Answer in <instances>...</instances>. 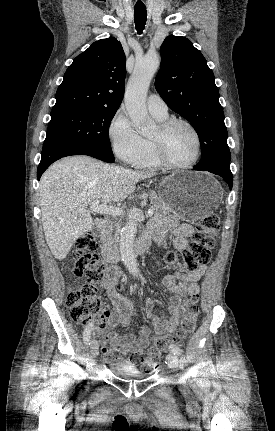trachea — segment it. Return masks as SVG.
I'll return each mask as SVG.
<instances>
[{
	"label": "trachea",
	"mask_w": 275,
	"mask_h": 431,
	"mask_svg": "<svg viewBox=\"0 0 275 431\" xmlns=\"http://www.w3.org/2000/svg\"><path fill=\"white\" fill-rule=\"evenodd\" d=\"M147 21L146 8H134V22L138 34H142Z\"/></svg>",
	"instance_id": "3493384b"
}]
</instances>
